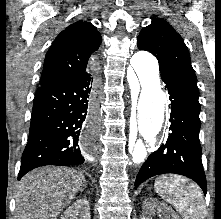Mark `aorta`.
Instances as JSON below:
<instances>
[{
  "label": "aorta",
  "mask_w": 221,
  "mask_h": 219,
  "mask_svg": "<svg viewBox=\"0 0 221 219\" xmlns=\"http://www.w3.org/2000/svg\"><path fill=\"white\" fill-rule=\"evenodd\" d=\"M130 63L141 87L135 114L136 131L153 146L163 126L166 107V97L160 85L158 61L151 53L138 51ZM142 138H133L128 150L133 163L137 165L144 162L147 155Z\"/></svg>",
  "instance_id": "1"
}]
</instances>
